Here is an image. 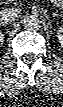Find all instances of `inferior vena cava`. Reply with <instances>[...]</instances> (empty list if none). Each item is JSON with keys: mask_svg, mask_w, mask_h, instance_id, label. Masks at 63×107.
Listing matches in <instances>:
<instances>
[{"mask_svg": "<svg viewBox=\"0 0 63 107\" xmlns=\"http://www.w3.org/2000/svg\"><path fill=\"white\" fill-rule=\"evenodd\" d=\"M18 15L17 9L5 8L0 11V24H10L12 23Z\"/></svg>", "mask_w": 63, "mask_h": 107, "instance_id": "obj_1", "label": "inferior vena cava"}]
</instances>
